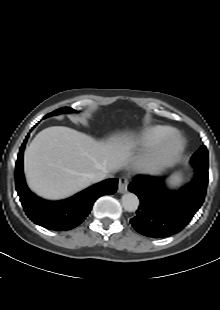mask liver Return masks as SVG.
<instances>
[{"instance_id": "obj_1", "label": "liver", "mask_w": 220, "mask_h": 310, "mask_svg": "<svg viewBox=\"0 0 220 310\" xmlns=\"http://www.w3.org/2000/svg\"><path fill=\"white\" fill-rule=\"evenodd\" d=\"M131 148L125 135L98 142L68 127L46 128L25 152L28 185L46 199L66 198L91 185L89 174L117 171L126 165Z\"/></svg>"}]
</instances>
